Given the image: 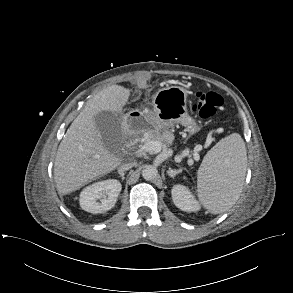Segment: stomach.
Returning a JSON list of instances; mask_svg holds the SVG:
<instances>
[{"instance_id":"stomach-1","label":"stomach","mask_w":293,"mask_h":293,"mask_svg":"<svg viewBox=\"0 0 293 293\" xmlns=\"http://www.w3.org/2000/svg\"><path fill=\"white\" fill-rule=\"evenodd\" d=\"M189 94L184 86L162 88L153 96V111H141L140 114L156 129H165L180 123L187 127L189 134H195L200 126L188 114Z\"/></svg>"}]
</instances>
